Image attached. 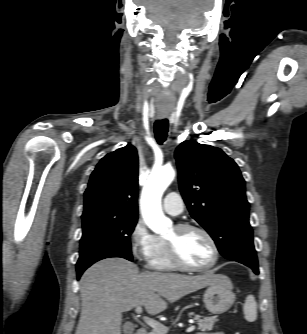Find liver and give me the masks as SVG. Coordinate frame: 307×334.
Listing matches in <instances>:
<instances>
[{
  "label": "liver",
  "mask_w": 307,
  "mask_h": 334,
  "mask_svg": "<svg viewBox=\"0 0 307 334\" xmlns=\"http://www.w3.org/2000/svg\"><path fill=\"white\" fill-rule=\"evenodd\" d=\"M214 271L188 276L139 272L133 262L107 258L88 268L80 280L81 314L75 334H121L122 313L144 306L156 315L183 296L213 284Z\"/></svg>",
  "instance_id": "1"
}]
</instances>
